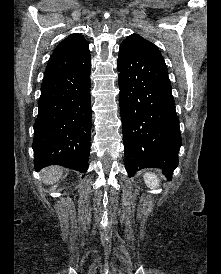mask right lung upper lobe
I'll use <instances>...</instances> for the list:
<instances>
[{
	"mask_svg": "<svg viewBox=\"0 0 221 274\" xmlns=\"http://www.w3.org/2000/svg\"><path fill=\"white\" fill-rule=\"evenodd\" d=\"M90 60V50L85 38L79 34H71L55 48L48 61L43 80L83 66Z\"/></svg>",
	"mask_w": 221,
	"mask_h": 274,
	"instance_id": "obj_1",
	"label": "right lung upper lobe"
}]
</instances>
